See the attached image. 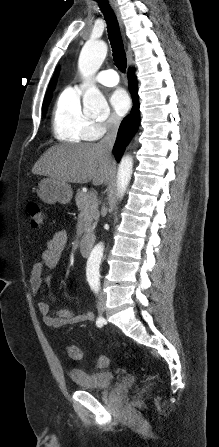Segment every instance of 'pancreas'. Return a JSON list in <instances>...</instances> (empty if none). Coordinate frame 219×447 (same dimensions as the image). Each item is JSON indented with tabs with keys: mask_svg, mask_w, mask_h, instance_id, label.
I'll return each instance as SVG.
<instances>
[{
	"mask_svg": "<svg viewBox=\"0 0 219 447\" xmlns=\"http://www.w3.org/2000/svg\"><path fill=\"white\" fill-rule=\"evenodd\" d=\"M91 193L92 192L85 193L78 189L75 196L78 209L80 211H86V218L83 223L84 234L91 232L95 228L99 218L97 198H95Z\"/></svg>",
	"mask_w": 219,
	"mask_h": 447,
	"instance_id": "cf45deb5",
	"label": "pancreas"
}]
</instances>
